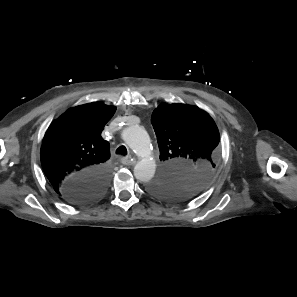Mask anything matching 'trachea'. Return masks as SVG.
I'll use <instances>...</instances> for the list:
<instances>
[{
    "label": "trachea",
    "mask_w": 297,
    "mask_h": 297,
    "mask_svg": "<svg viewBox=\"0 0 297 297\" xmlns=\"http://www.w3.org/2000/svg\"><path fill=\"white\" fill-rule=\"evenodd\" d=\"M116 154L118 155H122V156H125L127 154V149L125 146H120L119 148H117L116 150Z\"/></svg>",
    "instance_id": "3493384b"
}]
</instances>
